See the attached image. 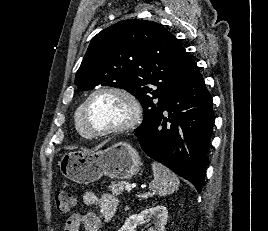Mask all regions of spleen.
<instances>
[{
	"instance_id": "spleen-1",
	"label": "spleen",
	"mask_w": 268,
	"mask_h": 231,
	"mask_svg": "<svg viewBox=\"0 0 268 231\" xmlns=\"http://www.w3.org/2000/svg\"><path fill=\"white\" fill-rule=\"evenodd\" d=\"M154 179L149 188L159 196H165L178 189L179 179L171 170L159 162L152 163Z\"/></svg>"
}]
</instances>
